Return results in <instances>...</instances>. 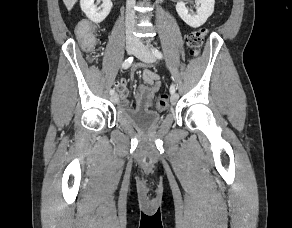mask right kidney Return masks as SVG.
I'll use <instances>...</instances> for the list:
<instances>
[{
	"label": "right kidney",
	"mask_w": 292,
	"mask_h": 228,
	"mask_svg": "<svg viewBox=\"0 0 292 228\" xmlns=\"http://www.w3.org/2000/svg\"><path fill=\"white\" fill-rule=\"evenodd\" d=\"M94 1L95 0H80V7L88 19L94 23H100L109 15L113 5L111 0H102L103 3L101 7L97 8Z\"/></svg>",
	"instance_id": "right-kidney-1"
}]
</instances>
